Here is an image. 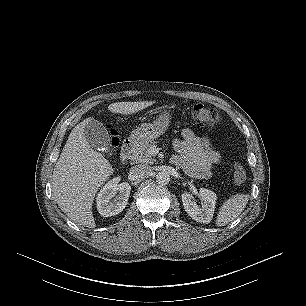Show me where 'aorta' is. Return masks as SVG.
Masks as SVG:
<instances>
[{"label": "aorta", "mask_w": 306, "mask_h": 306, "mask_svg": "<svg viewBox=\"0 0 306 306\" xmlns=\"http://www.w3.org/2000/svg\"><path fill=\"white\" fill-rule=\"evenodd\" d=\"M170 181V175L166 171H161L156 175V182L162 185L168 184Z\"/></svg>", "instance_id": "1"}]
</instances>
